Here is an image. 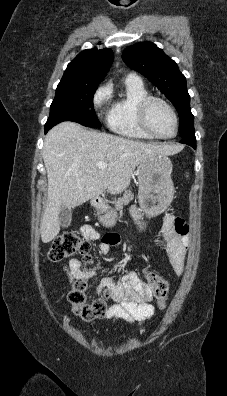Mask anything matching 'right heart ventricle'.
Wrapping results in <instances>:
<instances>
[{
  "mask_svg": "<svg viewBox=\"0 0 227 396\" xmlns=\"http://www.w3.org/2000/svg\"><path fill=\"white\" fill-rule=\"evenodd\" d=\"M149 95L141 80L126 78L124 92L116 98L107 115V125L114 133L132 139L153 140L140 125L138 105Z\"/></svg>",
  "mask_w": 227,
  "mask_h": 396,
  "instance_id": "obj_1",
  "label": "right heart ventricle"
}]
</instances>
